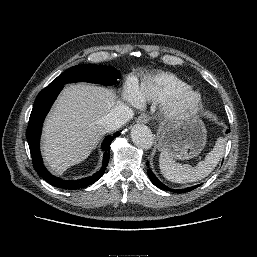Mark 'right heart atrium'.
Instances as JSON below:
<instances>
[{
	"label": "right heart atrium",
	"instance_id": "obj_1",
	"mask_svg": "<svg viewBox=\"0 0 257 257\" xmlns=\"http://www.w3.org/2000/svg\"><path fill=\"white\" fill-rule=\"evenodd\" d=\"M125 98L132 103H136V100H135L134 94H133V87L130 86L127 88L126 93H125Z\"/></svg>",
	"mask_w": 257,
	"mask_h": 257
}]
</instances>
